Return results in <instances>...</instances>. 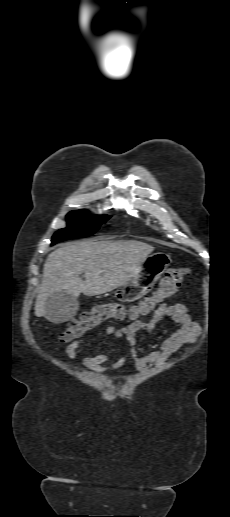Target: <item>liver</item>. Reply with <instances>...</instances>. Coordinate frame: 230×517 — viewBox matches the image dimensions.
I'll return each instance as SVG.
<instances>
[{"label":"liver","mask_w":230,"mask_h":517,"mask_svg":"<svg viewBox=\"0 0 230 517\" xmlns=\"http://www.w3.org/2000/svg\"><path fill=\"white\" fill-rule=\"evenodd\" d=\"M154 250L139 241H81L64 244L44 263L43 280L35 302V316L46 317L48 297L66 291L74 298L94 296L128 282ZM84 273L85 281L80 278Z\"/></svg>","instance_id":"obj_1"}]
</instances>
